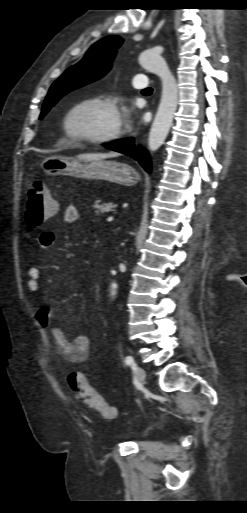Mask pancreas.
I'll list each match as a JSON object with an SVG mask.
<instances>
[{"instance_id":"cf45deb5","label":"pancreas","mask_w":247,"mask_h":513,"mask_svg":"<svg viewBox=\"0 0 247 513\" xmlns=\"http://www.w3.org/2000/svg\"><path fill=\"white\" fill-rule=\"evenodd\" d=\"M117 207L116 204H113V203H102V202H98L96 203L93 208L95 210V213L97 215H101V214H105L107 212H111L113 210H115V208Z\"/></svg>"}]
</instances>
